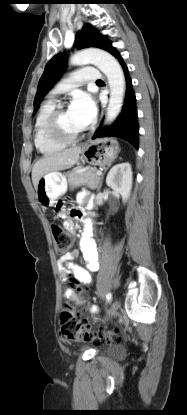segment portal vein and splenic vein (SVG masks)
Wrapping results in <instances>:
<instances>
[{
  "label": "portal vein and splenic vein",
  "instance_id": "18ae733b",
  "mask_svg": "<svg viewBox=\"0 0 187 415\" xmlns=\"http://www.w3.org/2000/svg\"><path fill=\"white\" fill-rule=\"evenodd\" d=\"M96 173H97V175H101V174H102V172H101V171H97Z\"/></svg>",
  "mask_w": 187,
  "mask_h": 415
}]
</instances>
